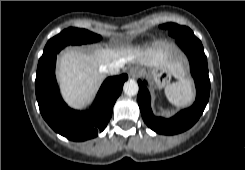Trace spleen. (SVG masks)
I'll use <instances>...</instances> for the list:
<instances>
[{"instance_id": "1", "label": "spleen", "mask_w": 245, "mask_h": 170, "mask_svg": "<svg viewBox=\"0 0 245 170\" xmlns=\"http://www.w3.org/2000/svg\"><path fill=\"white\" fill-rule=\"evenodd\" d=\"M165 95L169 102L176 106L183 107L189 105L194 99L192 80L186 78L169 84L165 88Z\"/></svg>"}]
</instances>
